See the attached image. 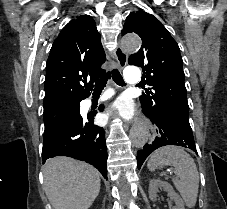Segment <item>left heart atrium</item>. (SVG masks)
<instances>
[{
    "label": "left heart atrium",
    "mask_w": 227,
    "mask_h": 209,
    "mask_svg": "<svg viewBox=\"0 0 227 209\" xmlns=\"http://www.w3.org/2000/svg\"><path fill=\"white\" fill-rule=\"evenodd\" d=\"M112 108L118 115L124 118H130L134 114V108L129 102H116Z\"/></svg>",
    "instance_id": "obj_1"
}]
</instances>
